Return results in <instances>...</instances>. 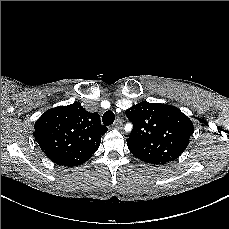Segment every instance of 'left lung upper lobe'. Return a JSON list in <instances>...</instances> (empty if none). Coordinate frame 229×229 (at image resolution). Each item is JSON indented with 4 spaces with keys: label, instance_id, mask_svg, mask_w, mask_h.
<instances>
[{
    "label": "left lung upper lobe",
    "instance_id": "left-lung-upper-lobe-1",
    "mask_svg": "<svg viewBox=\"0 0 229 229\" xmlns=\"http://www.w3.org/2000/svg\"><path fill=\"white\" fill-rule=\"evenodd\" d=\"M126 116L133 124L128 148L147 163L176 160L193 134L192 121L173 106L143 101L127 109Z\"/></svg>",
    "mask_w": 229,
    "mask_h": 229
}]
</instances>
